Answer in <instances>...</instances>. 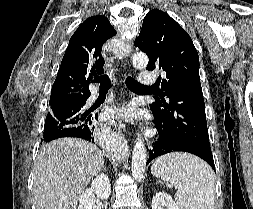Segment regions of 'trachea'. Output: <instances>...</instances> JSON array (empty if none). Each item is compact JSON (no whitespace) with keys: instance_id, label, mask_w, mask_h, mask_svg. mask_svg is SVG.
Masks as SVG:
<instances>
[{"instance_id":"obj_1","label":"trachea","mask_w":253,"mask_h":209,"mask_svg":"<svg viewBox=\"0 0 253 209\" xmlns=\"http://www.w3.org/2000/svg\"><path fill=\"white\" fill-rule=\"evenodd\" d=\"M94 82L100 83V90H109L111 85V80L108 75H103L100 77H96L94 79ZM126 85L129 89H139V88H146L147 86L141 85L136 80H134L132 77L128 76L126 79Z\"/></svg>"}]
</instances>
